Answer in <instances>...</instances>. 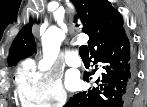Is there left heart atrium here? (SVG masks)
<instances>
[{"label":"left heart atrium","instance_id":"1","mask_svg":"<svg viewBox=\"0 0 147 107\" xmlns=\"http://www.w3.org/2000/svg\"><path fill=\"white\" fill-rule=\"evenodd\" d=\"M67 84H68L69 88L76 89L79 85V80L75 75L70 73L67 77Z\"/></svg>","mask_w":147,"mask_h":107}]
</instances>
